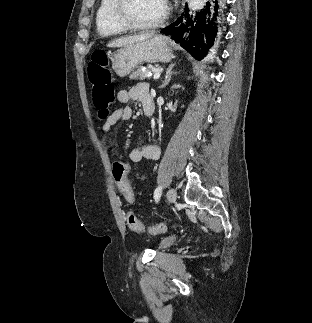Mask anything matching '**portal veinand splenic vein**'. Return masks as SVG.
<instances>
[{
	"instance_id": "portal-vein-and-splenic-vein-1",
	"label": "portal vein and splenic vein",
	"mask_w": 312,
	"mask_h": 323,
	"mask_svg": "<svg viewBox=\"0 0 312 323\" xmlns=\"http://www.w3.org/2000/svg\"><path fill=\"white\" fill-rule=\"evenodd\" d=\"M149 76H152V74H149ZM153 78L154 80H158V78H160V72H155Z\"/></svg>"
}]
</instances>
